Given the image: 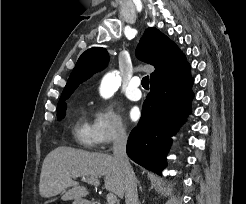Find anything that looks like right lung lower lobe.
Instances as JSON below:
<instances>
[{
	"instance_id": "98d812e1",
	"label": "right lung lower lobe",
	"mask_w": 246,
	"mask_h": 204,
	"mask_svg": "<svg viewBox=\"0 0 246 204\" xmlns=\"http://www.w3.org/2000/svg\"><path fill=\"white\" fill-rule=\"evenodd\" d=\"M192 84L189 64L150 80L141 119L127 142V154L133 161L161 174L166 167L170 137L191 111Z\"/></svg>"
}]
</instances>
